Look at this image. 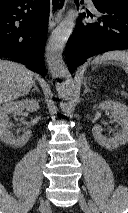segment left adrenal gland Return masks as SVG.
Wrapping results in <instances>:
<instances>
[{
  "label": "left adrenal gland",
  "mask_w": 128,
  "mask_h": 213,
  "mask_svg": "<svg viewBox=\"0 0 128 213\" xmlns=\"http://www.w3.org/2000/svg\"><path fill=\"white\" fill-rule=\"evenodd\" d=\"M84 87H85V90H84V94H86V93H88V92H92V90L91 89H89V87H88V85H87V83L86 82H84Z\"/></svg>",
  "instance_id": "obj_1"
}]
</instances>
